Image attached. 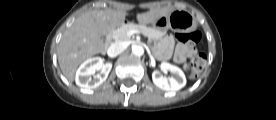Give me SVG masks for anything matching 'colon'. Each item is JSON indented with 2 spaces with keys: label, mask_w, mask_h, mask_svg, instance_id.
I'll return each instance as SVG.
<instances>
[{
  "label": "colon",
  "mask_w": 276,
  "mask_h": 120,
  "mask_svg": "<svg viewBox=\"0 0 276 120\" xmlns=\"http://www.w3.org/2000/svg\"><path fill=\"white\" fill-rule=\"evenodd\" d=\"M177 40L180 44H196L201 39V33L199 31H192L190 33H178L176 35ZM206 64V56L203 53H198L191 57L185 65L184 69L190 77L198 76L204 69Z\"/></svg>",
  "instance_id": "5ec220e1"
}]
</instances>
